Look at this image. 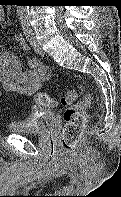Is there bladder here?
Returning a JSON list of instances; mask_svg holds the SVG:
<instances>
[{"label": "bladder", "instance_id": "obj_1", "mask_svg": "<svg viewBox=\"0 0 121 197\" xmlns=\"http://www.w3.org/2000/svg\"><path fill=\"white\" fill-rule=\"evenodd\" d=\"M54 122L55 113L52 110L40 109L25 119L10 123L8 130L15 134H43L54 125Z\"/></svg>", "mask_w": 121, "mask_h": 197}]
</instances>
